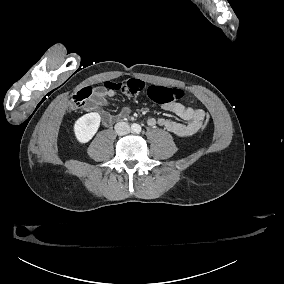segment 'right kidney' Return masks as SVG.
I'll return each instance as SVG.
<instances>
[{"label": "right kidney", "instance_id": "ca27d5eb", "mask_svg": "<svg viewBox=\"0 0 284 284\" xmlns=\"http://www.w3.org/2000/svg\"><path fill=\"white\" fill-rule=\"evenodd\" d=\"M100 120V115L95 112L80 117L74 125L77 140L81 143H86L92 139L99 128Z\"/></svg>", "mask_w": 284, "mask_h": 284}]
</instances>
